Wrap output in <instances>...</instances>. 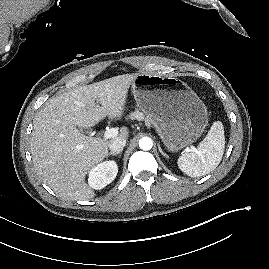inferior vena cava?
<instances>
[{
  "mask_svg": "<svg viewBox=\"0 0 269 269\" xmlns=\"http://www.w3.org/2000/svg\"><path fill=\"white\" fill-rule=\"evenodd\" d=\"M125 145H126L125 138H116L109 143V149L112 152H118V151H122Z\"/></svg>",
  "mask_w": 269,
  "mask_h": 269,
  "instance_id": "inferior-vena-cava-1",
  "label": "inferior vena cava"
}]
</instances>
